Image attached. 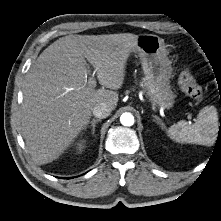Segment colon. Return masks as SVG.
I'll list each match as a JSON object with an SVG mask.
<instances>
[{"label": "colon", "mask_w": 221, "mask_h": 221, "mask_svg": "<svg viewBox=\"0 0 221 221\" xmlns=\"http://www.w3.org/2000/svg\"><path fill=\"white\" fill-rule=\"evenodd\" d=\"M181 90L189 97L200 101L202 99V88L189 71H183L178 79Z\"/></svg>", "instance_id": "5ec220e1"}]
</instances>
